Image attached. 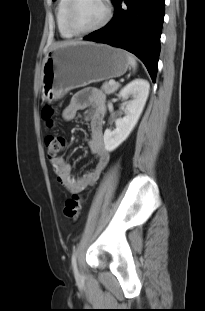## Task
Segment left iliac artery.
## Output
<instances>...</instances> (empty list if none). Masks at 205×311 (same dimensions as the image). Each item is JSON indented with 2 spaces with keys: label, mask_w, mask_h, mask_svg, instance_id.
<instances>
[{
  "label": "left iliac artery",
  "mask_w": 205,
  "mask_h": 311,
  "mask_svg": "<svg viewBox=\"0 0 205 311\" xmlns=\"http://www.w3.org/2000/svg\"><path fill=\"white\" fill-rule=\"evenodd\" d=\"M76 259H77V250L74 251V253H73V255H72V258H71L72 267H73V270H74V273H75V274L77 273V263H76Z\"/></svg>",
  "instance_id": "1"
}]
</instances>
